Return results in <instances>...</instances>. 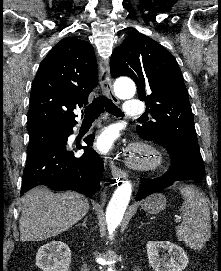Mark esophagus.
<instances>
[{
	"instance_id": "esophagus-1",
	"label": "esophagus",
	"mask_w": 221,
	"mask_h": 271,
	"mask_svg": "<svg viewBox=\"0 0 221 271\" xmlns=\"http://www.w3.org/2000/svg\"><path fill=\"white\" fill-rule=\"evenodd\" d=\"M99 82L103 89V91L111 97V99L114 101V103H119L118 98L114 95L112 91V83H111V74H110V68L107 61L102 60L100 62V74H99ZM111 173L113 176L121 179L127 178V173L121 169H119L114 164H110Z\"/></svg>"
}]
</instances>
